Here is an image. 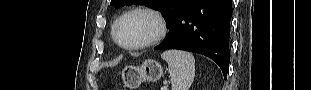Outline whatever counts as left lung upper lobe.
I'll return each mask as SVG.
<instances>
[{"mask_svg":"<svg viewBox=\"0 0 311 90\" xmlns=\"http://www.w3.org/2000/svg\"><path fill=\"white\" fill-rule=\"evenodd\" d=\"M195 0H111L116 8L132 3H144L145 6L161 12L172 28L179 15Z\"/></svg>","mask_w":311,"mask_h":90,"instance_id":"5c2ea615","label":"left lung upper lobe"}]
</instances>
